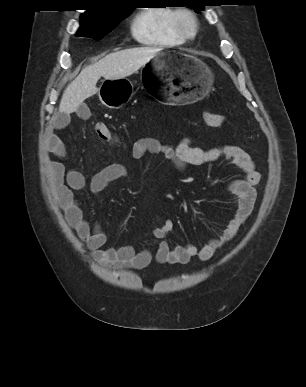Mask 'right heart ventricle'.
Returning <instances> with one entry per match:
<instances>
[{
	"instance_id": "e07e8e85",
	"label": "right heart ventricle",
	"mask_w": 306,
	"mask_h": 387,
	"mask_svg": "<svg viewBox=\"0 0 306 387\" xmlns=\"http://www.w3.org/2000/svg\"><path fill=\"white\" fill-rule=\"evenodd\" d=\"M177 9L167 6L140 10L130 24L132 37L140 44L155 48H172L185 43L174 27Z\"/></svg>"
}]
</instances>
